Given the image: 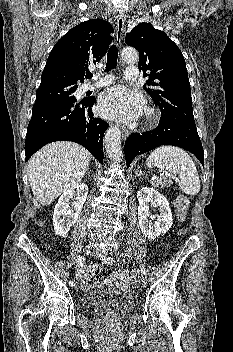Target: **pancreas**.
<instances>
[{
	"mask_svg": "<svg viewBox=\"0 0 233 352\" xmlns=\"http://www.w3.org/2000/svg\"><path fill=\"white\" fill-rule=\"evenodd\" d=\"M151 183L154 186L161 187V188L169 187L171 185V181L166 178L156 179L154 181H151Z\"/></svg>",
	"mask_w": 233,
	"mask_h": 352,
	"instance_id": "pancreas-1",
	"label": "pancreas"
}]
</instances>
